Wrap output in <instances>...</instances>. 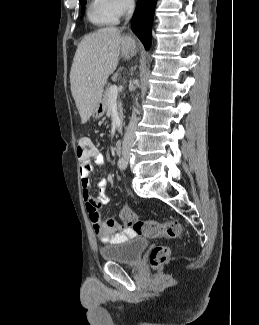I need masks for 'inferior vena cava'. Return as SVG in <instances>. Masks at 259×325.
Here are the masks:
<instances>
[{
  "label": "inferior vena cava",
  "instance_id": "602c4592",
  "mask_svg": "<svg viewBox=\"0 0 259 325\" xmlns=\"http://www.w3.org/2000/svg\"><path fill=\"white\" fill-rule=\"evenodd\" d=\"M126 21L128 22L130 18L132 17L133 11H134V0H126ZM136 113H138L137 109H133L132 116L129 122V125L127 127L126 133L124 135V141H123V149L127 150L131 148L135 143V131L137 127V116Z\"/></svg>",
  "mask_w": 259,
  "mask_h": 325
}]
</instances>
